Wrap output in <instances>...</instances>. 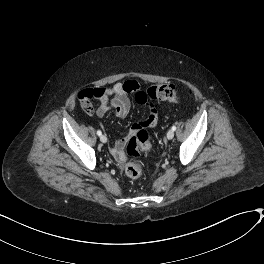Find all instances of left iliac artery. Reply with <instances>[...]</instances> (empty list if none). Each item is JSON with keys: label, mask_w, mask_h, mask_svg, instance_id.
<instances>
[{"label": "left iliac artery", "mask_w": 264, "mask_h": 264, "mask_svg": "<svg viewBox=\"0 0 264 264\" xmlns=\"http://www.w3.org/2000/svg\"><path fill=\"white\" fill-rule=\"evenodd\" d=\"M173 131H175L176 130V126H172V128H171Z\"/></svg>", "instance_id": "left-iliac-artery-1"}]
</instances>
